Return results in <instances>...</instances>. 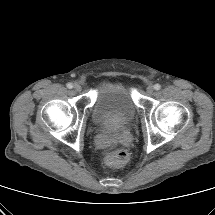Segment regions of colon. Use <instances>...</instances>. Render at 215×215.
<instances>
[{"label":"colon","instance_id":"5ec220e1","mask_svg":"<svg viewBox=\"0 0 215 215\" xmlns=\"http://www.w3.org/2000/svg\"><path fill=\"white\" fill-rule=\"evenodd\" d=\"M129 159V153L122 148L111 151L105 158V162L111 167H120L126 164Z\"/></svg>","mask_w":215,"mask_h":215}]
</instances>
